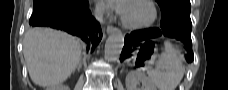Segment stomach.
I'll use <instances>...</instances> for the list:
<instances>
[{
    "mask_svg": "<svg viewBox=\"0 0 228 90\" xmlns=\"http://www.w3.org/2000/svg\"><path fill=\"white\" fill-rule=\"evenodd\" d=\"M145 47L141 50H138L134 56V63L138 66L148 68L153 62L156 57V48L153 42L148 41L145 43Z\"/></svg>",
    "mask_w": 228,
    "mask_h": 90,
    "instance_id": "obj_1",
    "label": "stomach"
}]
</instances>
